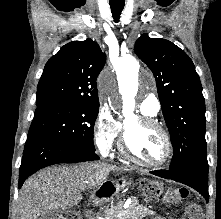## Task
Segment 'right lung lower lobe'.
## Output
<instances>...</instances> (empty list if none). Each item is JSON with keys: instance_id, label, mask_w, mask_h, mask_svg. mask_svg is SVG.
<instances>
[{"instance_id": "98d812e1", "label": "right lung lower lobe", "mask_w": 221, "mask_h": 219, "mask_svg": "<svg viewBox=\"0 0 221 219\" xmlns=\"http://www.w3.org/2000/svg\"><path fill=\"white\" fill-rule=\"evenodd\" d=\"M95 151H87L44 135L28 137L19 172V188L24 181L41 168L58 163L98 160Z\"/></svg>"}]
</instances>
